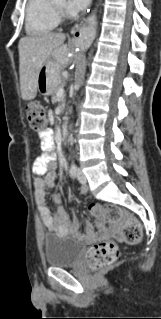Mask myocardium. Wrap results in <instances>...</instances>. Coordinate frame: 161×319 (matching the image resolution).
<instances>
[{
    "label": "myocardium",
    "instance_id": "myocardium-1",
    "mask_svg": "<svg viewBox=\"0 0 161 319\" xmlns=\"http://www.w3.org/2000/svg\"><path fill=\"white\" fill-rule=\"evenodd\" d=\"M54 6H55L56 12L60 18H63V19L68 18V15H67L64 8L58 6L57 4H54Z\"/></svg>",
    "mask_w": 161,
    "mask_h": 319
}]
</instances>
